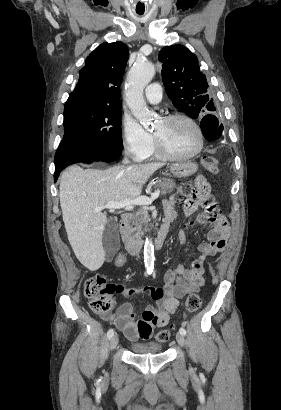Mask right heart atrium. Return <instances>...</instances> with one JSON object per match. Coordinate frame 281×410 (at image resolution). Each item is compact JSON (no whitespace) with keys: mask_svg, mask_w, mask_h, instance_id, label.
Masks as SVG:
<instances>
[{"mask_svg":"<svg viewBox=\"0 0 281 410\" xmlns=\"http://www.w3.org/2000/svg\"><path fill=\"white\" fill-rule=\"evenodd\" d=\"M123 146L135 160H143L153 145V138L142 126L131 118L122 125Z\"/></svg>","mask_w":281,"mask_h":410,"instance_id":"obj_1","label":"right heart atrium"}]
</instances>
